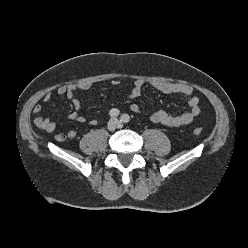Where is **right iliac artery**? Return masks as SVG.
I'll return each mask as SVG.
<instances>
[{
    "label": "right iliac artery",
    "instance_id": "obj_1",
    "mask_svg": "<svg viewBox=\"0 0 248 248\" xmlns=\"http://www.w3.org/2000/svg\"><path fill=\"white\" fill-rule=\"evenodd\" d=\"M119 113H120V111L118 109L113 108V109L110 110L109 115L111 117H117L119 115Z\"/></svg>",
    "mask_w": 248,
    "mask_h": 248
}]
</instances>
